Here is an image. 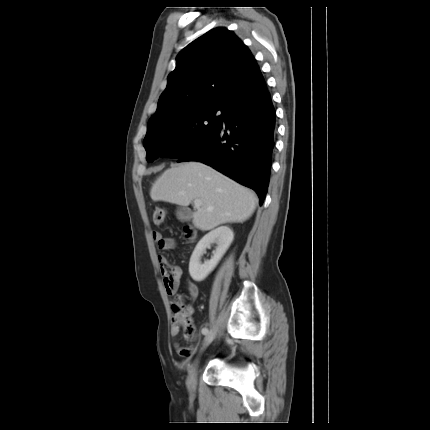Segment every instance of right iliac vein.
Returning <instances> with one entry per match:
<instances>
[{
    "mask_svg": "<svg viewBox=\"0 0 430 430\" xmlns=\"http://www.w3.org/2000/svg\"><path fill=\"white\" fill-rule=\"evenodd\" d=\"M215 338V331L211 330L207 333V335L205 336L204 339V343H203V348L205 349L209 344L212 343V341ZM196 366L197 364H195L189 374L188 380H187V385L190 391L194 392L196 389Z\"/></svg>",
    "mask_w": 430,
    "mask_h": 430,
    "instance_id": "right-iliac-vein-1",
    "label": "right iliac vein"
}]
</instances>
